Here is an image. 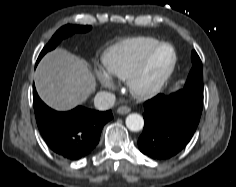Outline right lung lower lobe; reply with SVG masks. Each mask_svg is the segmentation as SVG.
Here are the masks:
<instances>
[{
  "label": "right lung lower lobe",
  "instance_id": "obj_1",
  "mask_svg": "<svg viewBox=\"0 0 236 187\" xmlns=\"http://www.w3.org/2000/svg\"><path fill=\"white\" fill-rule=\"evenodd\" d=\"M38 63V62H37ZM36 122L47 145L68 160L88 156L98 144L103 126L112 119V112H99L78 106L68 112L49 108L33 86Z\"/></svg>",
  "mask_w": 236,
  "mask_h": 187
}]
</instances>
